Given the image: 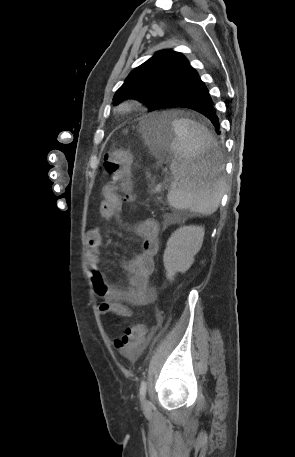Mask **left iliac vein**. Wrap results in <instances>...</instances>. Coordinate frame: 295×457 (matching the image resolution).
Masks as SVG:
<instances>
[{
	"mask_svg": "<svg viewBox=\"0 0 295 457\" xmlns=\"http://www.w3.org/2000/svg\"><path fill=\"white\" fill-rule=\"evenodd\" d=\"M144 404H145V405H147V402H146V401H144Z\"/></svg>",
	"mask_w": 295,
	"mask_h": 457,
	"instance_id": "4c4485c4",
	"label": "left iliac vein"
}]
</instances>
